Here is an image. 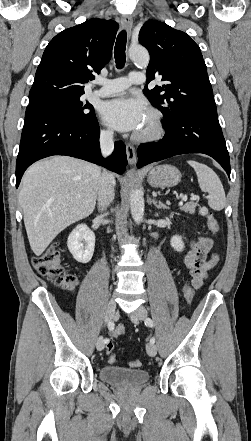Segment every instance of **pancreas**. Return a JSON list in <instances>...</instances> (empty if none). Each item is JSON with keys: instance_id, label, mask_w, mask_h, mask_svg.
<instances>
[{"instance_id": "cf45deb5", "label": "pancreas", "mask_w": 251, "mask_h": 441, "mask_svg": "<svg viewBox=\"0 0 251 441\" xmlns=\"http://www.w3.org/2000/svg\"><path fill=\"white\" fill-rule=\"evenodd\" d=\"M197 203L195 202H188L184 206H181L180 209L184 212H187L189 214H194L196 210Z\"/></svg>"}]
</instances>
